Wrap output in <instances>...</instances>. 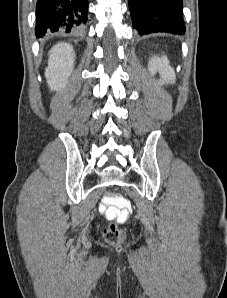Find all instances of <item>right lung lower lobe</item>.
Returning a JSON list of instances; mask_svg holds the SVG:
<instances>
[{
    "mask_svg": "<svg viewBox=\"0 0 227 298\" xmlns=\"http://www.w3.org/2000/svg\"><path fill=\"white\" fill-rule=\"evenodd\" d=\"M88 0H38L36 36L50 32H70L87 22Z\"/></svg>",
    "mask_w": 227,
    "mask_h": 298,
    "instance_id": "98d812e1",
    "label": "right lung lower lobe"
}]
</instances>
